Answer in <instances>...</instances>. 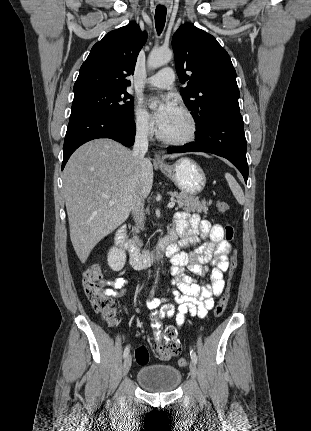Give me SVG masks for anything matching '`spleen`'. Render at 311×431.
Returning <instances> with one entry per match:
<instances>
[{
  "label": "spleen",
  "mask_w": 311,
  "mask_h": 431,
  "mask_svg": "<svg viewBox=\"0 0 311 431\" xmlns=\"http://www.w3.org/2000/svg\"><path fill=\"white\" fill-rule=\"evenodd\" d=\"M225 180H227V184L230 190H232V194L234 198H236L238 204H241V206H243V204H245V196L243 194V190H241L235 178H233L231 174H225Z\"/></svg>",
  "instance_id": "obj_1"
}]
</instances>
